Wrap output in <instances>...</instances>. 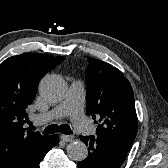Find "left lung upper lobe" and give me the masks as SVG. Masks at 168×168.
<instances>
[{"mask_svg":"<svg viewBox=\"0 0 168 168\" xmlns=\"http://www.w3.org/2000/svg\"><path fill=\"white\" fill-rule=\"evenodd\" d=\"M88 63L86 111L100 117L96 134L129 150L138 129L132 87L112 65L94 58Z\"/></svg>","mask_w":168,"mask_h":168,"instance_id":"left-lung-upper-lobe-1","label":"left lung upper lobe"}]
</instances>
